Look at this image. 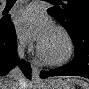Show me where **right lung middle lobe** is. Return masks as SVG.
Returning a JSON list of instances; mask_svg holds the SVG:
<instances>
[{"label":"right lung middle lobe","mask_w":89,"mask_h":89,"mask_svg":"<svg viewBox=\"0 0 89 89\" xmlns=\"http://www.w3.org/2000/svg\"><path fill=\"white\" fill-rule=\"evenodd\" d=\"M4 22V20H0V23H3Z\"/></svg>","instance_id":"obj_1"}]
</instances>
